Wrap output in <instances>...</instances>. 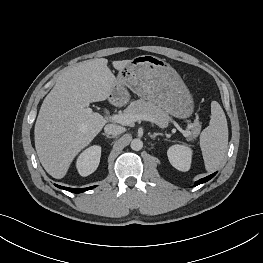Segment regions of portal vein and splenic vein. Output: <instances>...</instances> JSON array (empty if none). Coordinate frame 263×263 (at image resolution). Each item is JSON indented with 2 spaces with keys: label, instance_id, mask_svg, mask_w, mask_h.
Instances as JSON below:
<instances>
[{
  "label": "portal vein and splenic vein",
  "instance_id": "obj_1",
  "mask_svg": "<svg viewBox=\"0 0 263 263\" xmlns=\"http://www.w3.org/2000/svg\"><path fill=\"white\" fill-rule=\"evenodd\" d=\"M88 111H92L90 108H87ZM112 120L122 124V125H132L135 121H150L151 123H157L156 120L147 114L142 115H129V114H114L112 115ZM183 136L188 137L191 135V132L188 130H181Z\"/></svg>",
  "mask_w": 263,
  "mask_h": 263
}]
</instances>
